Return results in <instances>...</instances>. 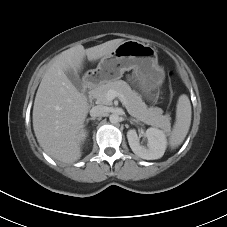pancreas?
Segmentation results:
<instances>
[{"label":"pancreas","mask_w":227,"mask_h":227,"mask_svg":"<svg viewBox=\"0 0 227 227\" xmlns=\"http://www.w3.org/2000/svg\"><path fill=\"white\" fill-rule=\"evenodd\" d=\"M109 90H115L124 95L128 113L136 119L163 129L168 132L171 128L169 115H162L163 111L158 107H147L141 96L131 89L128 83L123 80L109 81L97 86L92 90V96L98 104L110 105L106 97Z\"/></svg>","instance_id":"cf45deb5"}]
</instances>
